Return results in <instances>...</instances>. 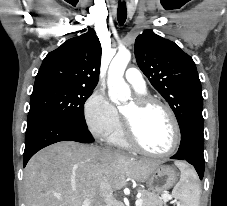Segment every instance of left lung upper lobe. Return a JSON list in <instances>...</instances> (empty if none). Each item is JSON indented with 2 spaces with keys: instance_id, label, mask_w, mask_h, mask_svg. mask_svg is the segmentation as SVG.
<instances>
[{
  "instance_id": "left-lung-upper-lobe-1",
  "label": "left lung upper lobe",
  "mask_w": 227,
  "mask_h": 206,
  "mask_svg": "<svg viewBox=\"0 0 227 206\" xmlns=\"http://www.w3.org/2000/svg\"><path fill=\"white\" fill-rule=\"evenodd\" d=\"M134 50L139 68L172 108L181 134L193 125L203 128L201 82L192 58L151 30L136 38Z\"/></svg>"
}]
</instances>
